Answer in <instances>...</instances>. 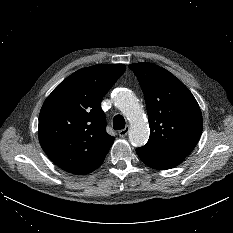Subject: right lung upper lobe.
<instances>
[{"label": "right lung upper lobe", "instance_id": "1", "mask_svg": "<svg viewBox=\"0 0 233 233\" xmlns=\"http://www.w3.org/2000/svg\"><path fill=\"white\" fill-rule=\"evenodd\" d=\"M125 69L123 64L79 69L45 100L39 115V141L61 169L88 174L104 161L114 137L105 131L100 102Z\"/></svg>", "mask_w": 233, "mask_h": 233}]
</instances>
